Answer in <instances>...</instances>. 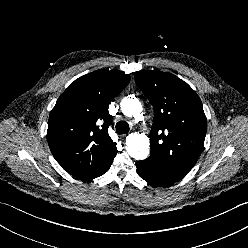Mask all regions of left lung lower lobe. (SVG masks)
<instances>
[{
  "instance_id": "obj_1",
  "label": "left lung lower lobe",
  "mask_w": 248,
  "mask_h": 248,
  "mask_svg": "<svg viewBox=\"0 0 248 248\" xmlns=\"http://www.w3.org/2000/svg\"><path fill=\"white\" fill-rule=\"evenodd\" d=\"M136 167L137 173L142 179L156 186L170 185L183 178L152 157L138 161Z\"/></svg>"
}]
</instances>
